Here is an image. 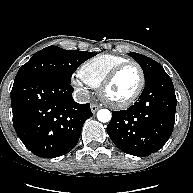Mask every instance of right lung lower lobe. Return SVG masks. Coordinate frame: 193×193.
Here are the masks:
<instances>
[{"instance_id": "right-lung-lower-lobe-1", "label": "right lung lower lobe", "mask_w": 193, "mask_h": 193, "mask_svg": "<svg viewBox=\"0 0 193 193\" xmlns=\"http://www.w3.org/2000/svg\"><path fill=\"white\" fill-rule=\"evenodd\" d=\"M70 83L49 77L14 81L11 91L13 125L23 144L35 155H65L77 144L90 104L72 98Z\"/></svg>"}]
</instances>
